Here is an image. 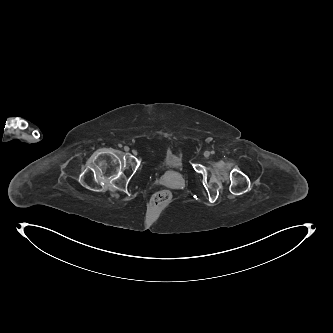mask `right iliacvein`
I'll list each match as a JSON object with an SVG mask.
<instances>
[{
  "label": "right iliac vein",
  "instance_id": "right-iliac-vein-1",
  "mask_svg": "<svg viewBox=\"0 0 333 333\" xmlns=\"http://www.w3.org/2000/svg\"><path fill=\"white\" fill-rule=\"evenodd\" d=\"M124 149H125V151H129V149H127V148H124ZM132 153L135 154V155L138 154V152L136 150H132Z\"/></svg>",
  "mask_w": 333,
  "mask_h": 333
}]
</instances>
